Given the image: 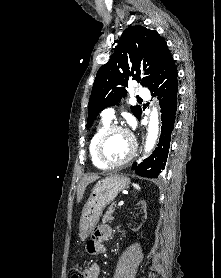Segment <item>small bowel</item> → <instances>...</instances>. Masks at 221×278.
Masks as SVG:
<instances>
[{"label": "small bowel", "instance_id": "c3829d8e", "mask_svg": "<svg viewBox=\"0 0 221 278\" xmlns=\"http://www.w3.org/2000/svg\"><path fill=\"white\" fill-rule=\"evenodd\" d=\"M112 236V228L107 225H101L93 231L92 238L87 242V250L90 253H103L105 247L103 242ZM87 278H98L99 267L97 264H91L87 269Z\"/></svg>", "mask_w": 221, "mask_h": 278}]
</instances>
